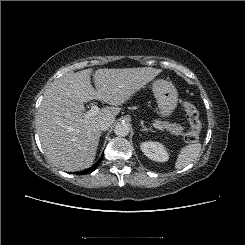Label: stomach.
Masks as SVG:
<instances>
[{
  "label": "stomach",
  "mask_w": 245,
  "mask_h": 245,
  "mask_svg": "<svg viewBox=\"0 0 245 245\" xmlns=\"http://www.w3.org/2000/svg\"><path fill=\"white\" fill-rule=\"evenodd\" d=\"M157 100L159 114L162 118L169 117L177 107L178 92L174 85L163 79L156 80L152 86Z\"/></svg>",
  "instance_id": "0dacf381"
}]
</instances>
